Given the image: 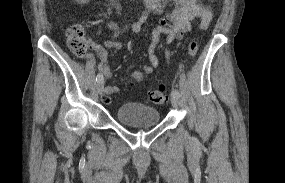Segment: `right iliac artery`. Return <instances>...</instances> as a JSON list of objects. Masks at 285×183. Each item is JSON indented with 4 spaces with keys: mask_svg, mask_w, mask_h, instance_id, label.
<instances>
[{
    "mask_svg": "<svg viewBox=\"0 0 285 183\" xmlns=\"http://www.w3.org/2000/svg\"><path fill=\"white\" fill-rule=\"evenodd\" d=\"M103 80V75L101 73H99L97 76H96V81H101Z\"/></svg>",
    "mask_w": 285,
    "mask_h": 183,
    "instance_id": "1",
    "label": "right iliac artery"
}]
</instances>
